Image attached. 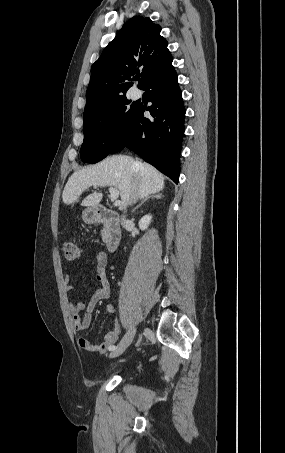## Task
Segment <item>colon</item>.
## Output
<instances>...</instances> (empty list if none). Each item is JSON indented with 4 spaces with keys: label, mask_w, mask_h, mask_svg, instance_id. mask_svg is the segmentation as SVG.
Wrapping results in <instances>:
<instances>
[{
    "label": "colon",
    "mask_w": 285,
    "mask_h": 453,
    "mask_svg": "<svg viewBox=\"0 0 285 453\" xmlns=\"http://www.w3.org/2000/svg\"><path fill=\"white\" fill-rule=\"evenodd\" d=\"M63 251L66 259L75 260L80 257L82 249L75 238H71L64 243Z\"/></svg>",
    "instance_id": "5ec220e1"
}]
</instances>
